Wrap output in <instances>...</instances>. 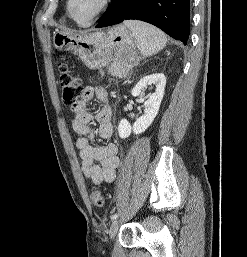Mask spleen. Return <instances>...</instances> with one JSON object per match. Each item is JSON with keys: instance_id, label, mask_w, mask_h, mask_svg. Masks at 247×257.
<instances>
[{"instance_id": "3e777b00", "label": "spleen", "mask_w": 247, "mask_h": 257, "mask_svg": "<svg viewBox=\"0 0 247 257\" xmlns=\"http://www.w3.org/2000/svg\"><path fill=\"white\" fill-rule=\"evenodd\" d=\"M124 25L132 31L144 56L156 54L167 43L166 35L153 25L136 20H126Z\"/></svg>"}]
</instances>
